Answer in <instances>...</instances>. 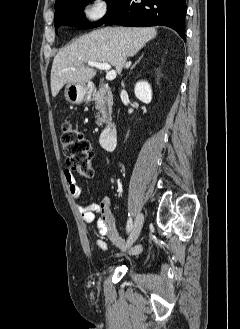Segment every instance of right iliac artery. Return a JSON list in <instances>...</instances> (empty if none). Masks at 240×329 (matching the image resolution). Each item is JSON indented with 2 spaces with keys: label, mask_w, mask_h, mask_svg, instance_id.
<instances>
[{
  "label": "right iliac artery",
  "mask_w": 240,
  "mask_h": 329,
  "mask_svg": "<svg viewBox=\"0 0 240 329\" xmlns=\"http://www.w3.org/2000/svg\"><path fill=\"white\" fill-rule=\"evenodd\" d=\"M129 216V219L127 221V226H126V229H127V232L129 233L132 229V218L130 217V214L128 215Z\"/></svg>",
  "instance_id": "82829eb1"
}]
</instances>
